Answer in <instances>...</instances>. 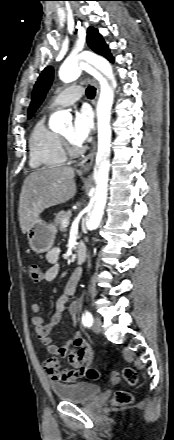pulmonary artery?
Wrapping results in <instances>:
<instances>
[{"instance_id":"1","label":"pulmonary artery","mask_w":174,"mask_h":440,"mask_svg":"<svg viewBox=\"0 0 174 440\" xmlns=\"http://www.w3.org/2000/svg\"><path fill=\"white\" fill-rule=\"evenodd\" d=\"M84 94L82 86H71L59 93L49 104V109H56L73 104Z\"/></svg>"}]
</instances>
